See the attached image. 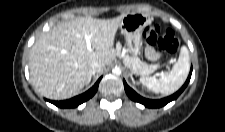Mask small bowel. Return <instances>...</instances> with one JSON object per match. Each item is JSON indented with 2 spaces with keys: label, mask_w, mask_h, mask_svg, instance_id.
<instances>
[{
  "label": "small bowel",
  "mask_w": 225,
  "mask_h": 132,
  "mask_svg": "<svg viewBox=\"0 0 225 132\" xmlns=\"http://www.w3.org/2000/svg\"><path fill=\"white\" fill-rule=\"evenodd\" d=\"M145 56L150 61H156L159 58V54L149 45L145 46Z\"/></svg>",
  "instance_id": "small-bowel-1"
}]
</instances>
